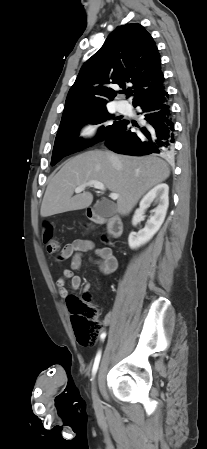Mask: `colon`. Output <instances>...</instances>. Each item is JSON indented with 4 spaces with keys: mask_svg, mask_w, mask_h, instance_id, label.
<instances>
[{
    "mask_svg": "<svg viewBox=\"0 0 207 449\" xmlns=\"http://www.w3.org/2000/svg\"><path fill=\"white\" fill-rule=\"evenodd\" d=\"M43 240L46 250L49 253H58L59 258L62 259L59 242L54 235L52 225L46 224L44 226ZM68 304L72 328L78 342L84 346H93L103 329V325L98 320L97 309L92 303L90 293L85 292L81 299L71 297Z\"/></svg>",
    "mask_w": 207,
    "mask_h": 449,
    "instance_id": "colon-1",
    "label": "colon"
}]
</instances>
